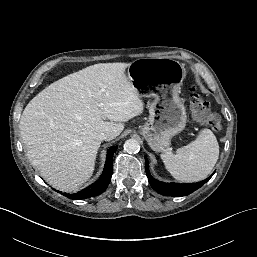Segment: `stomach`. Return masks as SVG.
I'll return each instance as SVG.
<instances>
[{
	"mask_svg": "<svg viewBox=\"0 0 257 257\" xmlns=\"http://www.w3.org/2000/svg\"><path fill=\"white\" fill-rule=\"evenodd\" d=\"M127 75L137 92L148 88L153 99L140 132L152 150L165 151L186 126V110L179 97L184 67L171 58H142L129 64Z\"/></svg>",
	"mask_w": 257,
	"mask_h": 257,
	"instance_id": "obj_1",
	"label": "stomach"
}]
</instances>
